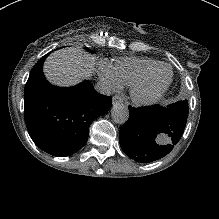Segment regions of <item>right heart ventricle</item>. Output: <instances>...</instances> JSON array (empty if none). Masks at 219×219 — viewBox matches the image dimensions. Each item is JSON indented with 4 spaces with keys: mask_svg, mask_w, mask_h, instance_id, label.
Returning a JSON list of instances; mask_svg holds the SVG:
<instances>
[{
    "mask_svg": "<svg viewBox=\"0 0 219 219\" xmlns=\"http://www.w3.org/2000/svg\"><path fill=\"white\" fill-rule=\"evenodd\" d=\"M158 64L159 61L147 57H121L114 60L113 73L122 85L130 87L144 73Z\"/></svg>",
    "mask_w": 219,
    "mask_h": 219,
    "instance_id": "right-heart-ventricle-1",
    "label": "right heart ventricle"
}]
</instances>
